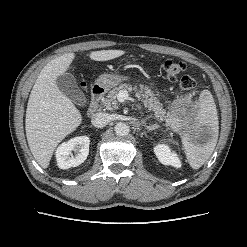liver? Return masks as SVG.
I'll return each mask as SVG.
<instances>
[{
	"instance_id": "obj_1",
	"label": "liver",
	"mask_w": 247,
	"mask_h": 247,
	"mask_svg": "<svg viewBox=\"0 0 247 247\" xmlns=\"http://www.w3.org/2000/svg\"><path fill=\"white\" fill-rule=\"evenodd\" d=\"M125 54L123 50L93 51L94 61H108ZM75 58L67 53L47 63L41 70L29 96L25 130L29 148L42 168L49 166L57 145L82 122V116L73 102L56 84Z\"/></svg>"
}]
</instances>
